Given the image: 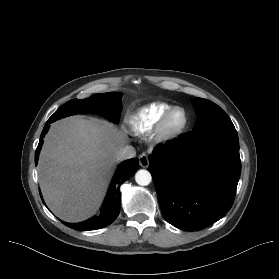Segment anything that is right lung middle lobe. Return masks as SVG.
<instances>
[{
	"mask_svg": "<svg viewBox=\"0 0 279 279\" xmlns=\"http://www.w3.org/2000/svg\"><path fill=\"white\" fill-rule=\"evenodd\" d=\"M121 108V94L114 92L95 94L87 99L68 101L48 119L47 123L76 113H99L110 120L118 121Z\"/></svg>",
	"mask_w": 279,
	"mask_h": 279,
	"instance_id": "1",
	"label": "right lung middle lobe"
}]
</instances>
